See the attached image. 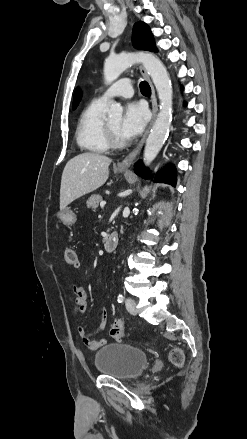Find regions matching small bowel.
Listing matches in <instances>:
<instances>
[{
	"mask_svg": "<svg viewBox=\"0 0 247 439\" xmlns=\"http://www.w3.org/2000/svg\"><path fill=\"white\" fill-rule=\"evenodd\" d=\"M72 292L75 296V313L79 316H83L88 307L87 293L80 283H74L72 286ZM107 324V311L104 309L102 312L101 322L96 329L91 332H87L82 324L78 325V333L83 344L90 351H96L105 345V339L93 340V337L102 332Z\"/></svg>",
	"mask_w": 247,
	"mask_h": 439,
	"instance_id": "1",
	"label": "small bowel"
}]
</instances>
